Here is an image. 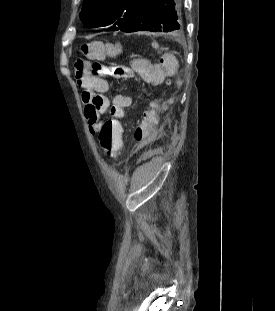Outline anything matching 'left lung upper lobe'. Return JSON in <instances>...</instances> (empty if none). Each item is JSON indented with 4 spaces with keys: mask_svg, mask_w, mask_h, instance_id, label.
<instances>
[{
    "mask_svg": "<svg viewBox=\"0 0 275 311\" xmlns=\"http://www.w3.org/2000/svg\"><path fill=\"white\" fill-rule=\"evenodd\" d=\"M143 0H84L80 18L85 26L119 30Z\"/></svg>",
    "mask_w": 275,
    "mask_h": 311,
    "instance_id": "obj_1",
    "label": "left lung upper lobe"
}]
</instances>
